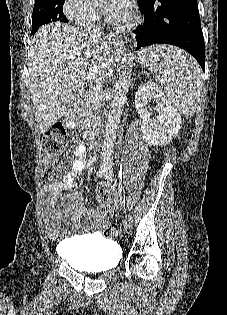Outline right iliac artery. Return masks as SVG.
Returning a JSON list of instances; mask_svg holds the SVG:
<instances>
[{"mask_svg":"<svg viewBox=\"0 0 227 315\" xmlns=\"http://www.w3.org/2000/svg\"><path fill=\"white\" fill-rule=\"evenodd\" d=\"M105 173H106L105 170H99L97 173V176L101 178V177L105 176Z\"/></svg>","mask_w":227,"mask_h":315,"instance_id":"82829eb1","label":"right iliac artery"}]
</instances>
